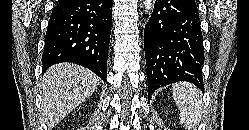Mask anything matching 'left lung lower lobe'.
I'll list each match as a JSON object with an SVG mask.
<instances>
[{
  "mask_svg": "<svg viewBox=\"0 0 249 130\" xmlns=\"http://www.w3.org/2000/svg\"><path fill=\"white\" fill-rule=\"evenodd\" d=\"M148 101L158 88L188 81L203 90L204 47L194 0H156L144 30Z\"/></svg>",
  "mask_w": 249,
  "mask_h": 130,
  "instance_id": "1",
  "label": "left lung lower lobe"
}]
</instances>
